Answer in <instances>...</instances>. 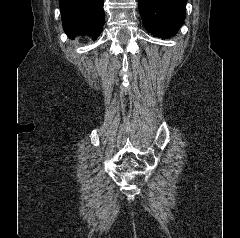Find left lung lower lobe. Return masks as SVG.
<instances>
[{"mask_svg":"<svg viewBox=\"0 0 240 238\" xmlns=\"http://www.w3.org/2000/svg\"><path fill=\"white\" fill-rule=\"evenodd\" d=\"M187 0H138L139 11L147 30L155 37L174 36L185 20Z\"/></svg>","mask_w":240,"mask_h":238,"instance_id":"obj_1","label":"left lung lower lobe"}]
</instances>
